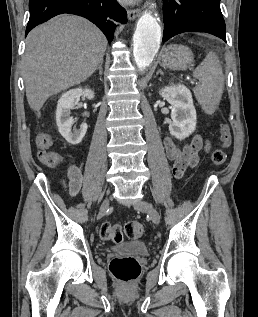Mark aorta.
<instances>
[{
    "mask_svg": "<svg viewBox=\"0 0 258 317\" xmlns=\"http://www.w3.org/2000/svg\"><path fill=\"white\" fill-rule=\"evenodd\" d=\"M153 7V6H151ZM161 27L151 11H145L138 20L133 36V56L140 71L153 61L160 48Z\"/></svg>",
    "mask_w": 258,
    "mask_h": 317,
    "instance_id": "obj_1",
    "label": "aorta"
}]
</instances>
